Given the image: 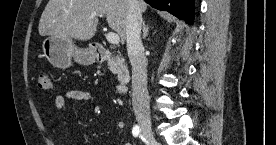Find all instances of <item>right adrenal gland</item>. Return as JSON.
I'll return each mask as SVG.
<instances>
[{
    "mask_svg": "<svg viewBox=\"0 0 276 145\" xmlns=\"http://www.w3.org/2000/svg\"><path fill=\"white\" fill-rule=\"evenodd\" d=\"M142 29H143V39H145L149 33V27L145 24V21H143Z\"/></svg>",
    "mask_w": 276,
    "mask_h": 145,
    "instance_id": "2a0ac1e0",
    "label": "right adrenal gland"
}]
</instances>
